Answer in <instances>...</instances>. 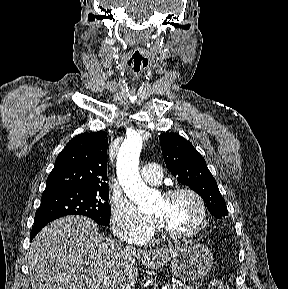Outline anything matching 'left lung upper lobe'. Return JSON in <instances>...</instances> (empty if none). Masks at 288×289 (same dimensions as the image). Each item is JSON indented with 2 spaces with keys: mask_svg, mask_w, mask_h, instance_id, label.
<instances>
[{
  "mask_svg": "<svg viewBox=\"0 0 288 289\" xmlns=\"http://www.w3.org/2000/svg\"><path fill=\"white\" fill-rule=\"evenodd\" d=\"M164 161L177 180L197 192L216 218L228 214L226 203L205 159L193 145L176 133L159 136Z\"/></svg>",
  "mask_w": 288,
  "mask_h": 289,
  "instance_id": "left-lung-upper-lobe-1",
  "label": "left lung upper lobe"
}]
</instances>
